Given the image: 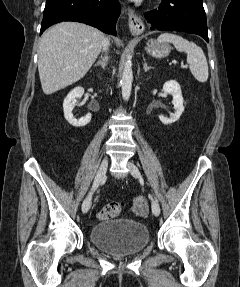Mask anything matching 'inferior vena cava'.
I'll list each match as a JSON object with an SVG mask.
<instances>
[{"label":"inferior vena cava","mask_w":240,"mask_h":287,"mask_svg":"<svg viewBox=\"0 0 240 287\" xmlns=\"http://www.w3.org/2000/svg\"><path fill=\"white\" fill-rule=\"evenodd\" d=\"M109 47V40L107 38H105L104 42H103V50L107 51Z\"/></svg>","instance_id":"1"}]
</instances>
